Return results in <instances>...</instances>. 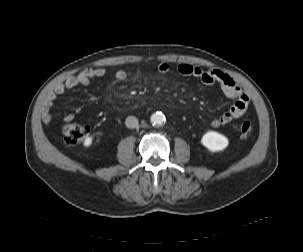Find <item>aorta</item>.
<instances>
[{"label": "aorta", "mask_w": 303, "mask_h": 252, "mask_svg": "<svg viewBox=\"0 0 303 252\" xmlns=\"http://www.w3.org/2000/svg\"><path fill=\"white\" fill-rule=\"evenodd\" d=\"M150 121L154 126H162L165 123L166 119L164 114L156 112L151 115Z\"/></svg>", "instance_id": "1"}]
</instances>
